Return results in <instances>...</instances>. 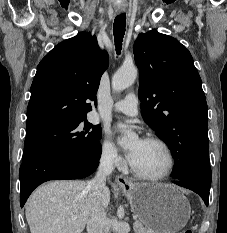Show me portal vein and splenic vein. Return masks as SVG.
Wrapping results in <instances>:
<instances>
[{
	"mask_svg": "<svg viewBox=\"0 0 227 233\" xmlns=\"http://www.w3.org/2000/svg\"><path fill=\"white\" fill-rule=\"evenodd\" d=\"M76 218H77L76 216H72V217H71L72 220H75Z\"/></svg>",
	"mask_w": 227,
	"mask_h": 233,
	"instance_id": "portal-vein-and-splenic-vein-1",
	"label": "portal vein and splenic vein"
}]
</instances>
